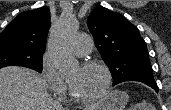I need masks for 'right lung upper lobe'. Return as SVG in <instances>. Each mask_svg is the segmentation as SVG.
<instances>
[{"mask_svg": "<svg viewBox=\"0 0 171 110\" xmlns=\"http://www.w3.org/2000/svg\"><path fill=\"white\" fill-rule=\"evenodd\" d=\"M50 10L42 7L16 16L0 34V43H14L35 51H45Z\"/></svg>", "mask_w": 171, "mask_h": 110, "instance_id": "cb5924a9", "label": "right lung upper lobe"}]
</instances>
